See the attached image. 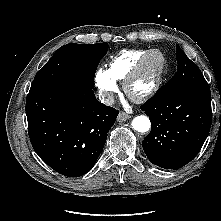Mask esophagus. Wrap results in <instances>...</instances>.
<instances>
[{
  "label": "esophagus",
  "mask_w": 221,
  "mask_h": 221,
  "mask_svg": "<svg viewBox=\"0 0 221 221\" xmlns=\"http://www.w3.org/2000/svg\"><path fill=\"white\" fill-rule=\"evenodd\" d=\"M131 116L124 113V112H120L117 116V121L118 122H124L126 120H128Z\"/></svg>",
  "instance_id": "34e87169"
}]
</instances>
